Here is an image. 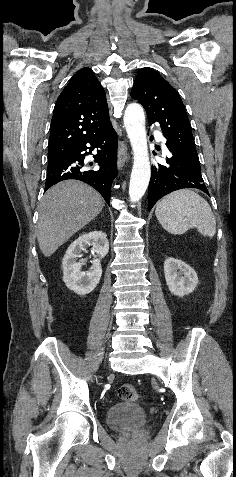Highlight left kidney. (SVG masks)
<instances>
[{
	"mask_svg": "<svg viewBox=\"0 0 236 477\" xmlns=\"http://www.w3.org/2000/svg\"><path fill=\"white\" fill-rule=\"evenodd\" d=\"M164 273L170 292L179 297L192 293L199 282L194 269L179 259L167 258Z\"/></svg>",
	"mask_w": 236,
	"mask_h": 477,
	"instance_id": "left-kidney-1",
	"label": "left kidney"
}]
</instances>
